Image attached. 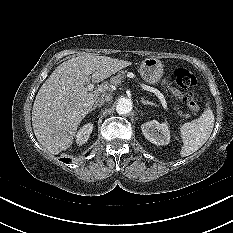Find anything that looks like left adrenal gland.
I'll return each instance as SVG.
<instances>
[{"mask_svg":"<svg viewBox=\"0 0 233 233\" xmlns=\"http://www.w3.org/2000/svg\"><path fill=\"white\" fill-rule=\"evenodd\" d=\"M141 103H143L144 105H151V106H155L157 107V104L150 102V101H145L143 98H141Z\"/></svg>","mask_w":233,"mask_h":233,"instance_id":"left-adrenal-gland-1","label":"left adrenal gland"}]
</instances>
